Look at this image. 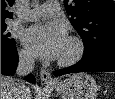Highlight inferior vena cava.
<instances>
[{"instance_id":"602c4592","label":"inferior vena cava","mask_w":115,"mask_h":99,"mask_svg":"<svg viewBox=\"0 0 115 99\" xmlns=\"http://www.w3.org/2000/svg\"><path fill=\"white\" fill-rule=\"evenodd\" d=\"M33 70H34V59L26 53H20L19 62L16 69L17 74H19L20 76H25L30 72H32ZM28 91H29L28 88L23 86L22 81L18 80L15 89V95H14L15 97L13 98L24 99L25 98L24 96Z\"/></svg>"}]
</instances>
